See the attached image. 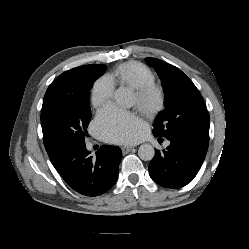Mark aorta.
Instances as JSON below:
<instances>
[{
  "instance_id": "obj_1",
  "label": "aorta",
  "mask_w": 249,
  "mask_h": 249,
  "mask_svg": "<svg viewBox=\"0 0 249 249\" xmlns=\"http://www.w3.org/2000/svg\"><path fill=\"white\" fill-rule=\"evenodd\" d=\"M114 99L120 105L129 106L131 104L130 93L124 87H120L114 92ZM154 155L155 150L152 145L148 143L140 145L138 149V156L141 160L150 161L153 159Z\"/></svg>"
}]
</instances>
